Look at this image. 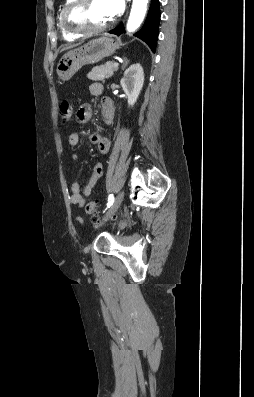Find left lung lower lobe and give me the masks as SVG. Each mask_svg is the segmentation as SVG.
<instances>
[{
  "label": "left lung lower lobe",
  "instance_id": "0a47b994",
  "mask_svg": "<svg viewBox=\"0 0 254 397\" xmlns=\"http://www.w3.org/2000/svg\"><path fill=\"white\" fill-rule=\"evenodd\" d=\"M159 21H160L159 0H152L146 21L143 27L141 28V30L138 33H136L135 36L146 42L153 52H155L156 50ZM124 32H125V28L123 27V23H120L115 29L111 30L109 33L116 34L119 36Z\"/></svg>",
  "mask_w": 254,
  "mask_h": 397
}]
</instances>
